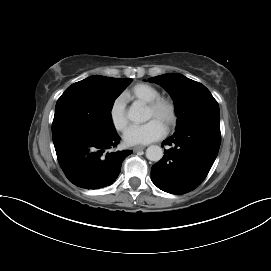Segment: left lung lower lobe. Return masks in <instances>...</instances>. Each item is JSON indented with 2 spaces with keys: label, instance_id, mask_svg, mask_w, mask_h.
<instances>
[{
  "label": "left lung lower lobe",
  "instance_id": "0a47b994",
  "mask_svg": "<svg viewBox=\"0 0 271 271\" xmlns=\"http://www.w3.org/2000/svg\"><path fill=\"white\" fill-rule=\"evenodd\" d=\"M221 142L220 123H199L177 130L164 140L163 158L151 168V179L161 190L181 195L197 188L210 171Z\"/></svg>",
  "mask_w": 271,
  "mask_h": 271
}]
</instances>
